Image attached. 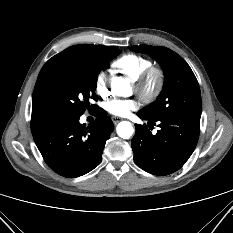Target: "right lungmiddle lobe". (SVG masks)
Instances as JSON below:
<instances>
[{
	"label": "right lung middle lobe",
	"instance_id": "right-lung-middle-lobe-1",
	"mask_svg": "<svg viewBox=\"0 0 233 233\" xmlns=\"http://www.w3.org/2000/svg\"><path fill=\"white\" fill-rule=\"evenodd\" d=\"M120 53L117 47L103 46L94 51L71 52L45 64L32 97L37 114L42 118L82 115L89 108V99L97 98L98 74Z\"/></svg>",
	"mask_w": 233,
	"mask_h": 233
}]
</instances>
